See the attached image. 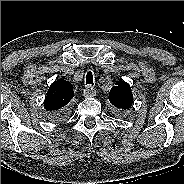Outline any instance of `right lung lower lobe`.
Instances as JSON below:
<instances>
[{
    "label": "right lung lower lobe",
    "instance_id": "1",
    "mask_svg": "<svg viewBox=\"0 0 184 184\" xmlns=\"http://www.w3.org/2000/svg\"><path fill=\"white\" fill-rule=\"evenodd\" d=\"M66 114L64 111H61L59 113H55V114H51L49 116V119L50 120H55V121H59V120H62L63 118H65Z\"/></svg>",
    "mask_w": 184,
    "mask_h": 184
}]
</instances>
